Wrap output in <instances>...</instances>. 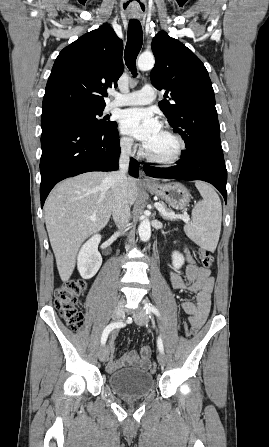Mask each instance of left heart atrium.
<instances>
[{
	"instance_id": "obj_1",
	"label": "left heart atrium",
	"mask_w": 269,
	"mask_h": 447,
	"mask_svg": "<svg viewBox=\"0 0 269 447\" xmlns=\"http://www.w3.org/2000/svg\"><path fill=\"white\" fill-rule=\"evenodd\" d=\"M120 127L123 133L146 144L162 128V124L153 111L132 108L121 113Z\"/></svg>"
}]
</instances>
